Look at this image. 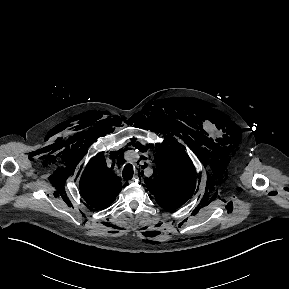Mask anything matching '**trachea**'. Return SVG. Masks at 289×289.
Masks as SVG:
<instances>
[{
  "mask_svg": "<svg viewBox=\"0 0 289 289\" xmlns=\"http://www.w3.org/2000/svg\"><path fill=\"white\" fill-rule=\"evenodd\" d=\"M133 174H134L133 166L130 164L126 165L122 171L123 178L125 180H130V179H132Z\"/></svg>",
  "mask_w": 289,
  "mask_h": 289,
  "instance_id": "3493384b",
  "label": "trachea"
}]
</instances>
